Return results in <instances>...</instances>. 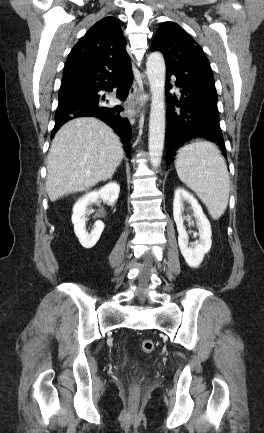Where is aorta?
<instances>
[{"label": "aorta", "instance_id": "762f6f07", "mask_svg": "<svg viewBox=\"0 0 264 433\" xmlns=\"http://www.w3.org/2000/svg\"><path fill=\"white\" fill-rule=\"evenodd\" d=\"M146 70L152 95L148 149L150 163L156 169L162 160L165 140V60L161 53L148 56Z\"/></svg>", "mask_w": 264, "mask_h": 433}]
</instances>
